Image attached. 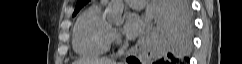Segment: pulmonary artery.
<instances>
[{
    "mask_svg": "<svg viewBox=\"0 0 242 64\" xmlns=\"http://www.w3.org/2000/svg\"><path fill=\"white\" fill-rule=\"evenodd\" d=\"M125 1L129 6H131L132 8H135V9H141L145 5L144 0H125ZM106 2L107 1H102L101 3L105 4Z\"/></svg>",
    "mask_w": 242,
    "mask_h": 64,
    "instance_id": "obj_1",
    "label": "pulmonary artery"
}]
</instances>
